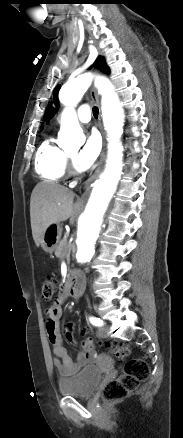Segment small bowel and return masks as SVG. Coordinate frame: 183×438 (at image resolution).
<instances>
[{"label":"small bowel","mask_w":183,"mask_h":438,"mask_svg":"<svg viewBox=\"0 0 183 438\" xmlns=\"http://www.w3.org/2000/svg\"><path fill=\"white\" fill-rule=\"evenodd\" d=\"M73 277H79L83 280V276L76 273ZM70 290L68 286L64 288L62 295L56 302L51 304L47 309L46 319V333L52 346V352L56 356L53 363L56 370L62 376H71L78 372L85 365L94 360L96 354L94 345L91 339L87 338L80 343L74 337V324L68 322L65 325V337L67 341L74 346H79L81 351L78 353L75 360H73L66 348L63 346L60 334V318L62 315V302L69 296Z\"/></svg>","instance_id":"obj_1"}]
</instances>
